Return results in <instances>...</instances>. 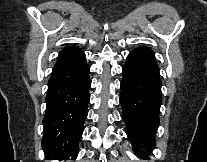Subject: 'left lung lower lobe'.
<instances>
[{
    "instance_id": "left-lung-lower-lobe-1",
    "label": "left lung lower lobe",
    "mask_w": 207,
    "mask_h": 162,
    "mask_svg": "<svg viewBox=\"0 0 207 162\" xmlns=\"http://www.w3.org/2000/svg\"><path fill=\"white\" fill-rule=\"evenodd\" d=\"M120 103L127 135L136 154L147 155L155 145L159 125L161 81L154 54L134 50L122 69Z\"/></svg>"
}]
</instances>
